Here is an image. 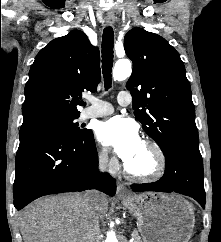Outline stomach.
<instances>
[{
    "instance_id": "obj_1",
    "label": "stomach",
    "mask_w": 221,
    "mask_h": 242,
    "mask_svg": "<svg viewBox=\"0 0 221 242\" xmlns=\"http://www.w3.org/2000/svg\"><path fill=\"white\" fill-rule=\"evenodd\" d=\"M137 218L144 242H188L194 228L192 205L180 195L142 193L122 199Z\"/></svg>"
}]
</instances>
